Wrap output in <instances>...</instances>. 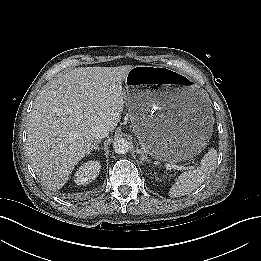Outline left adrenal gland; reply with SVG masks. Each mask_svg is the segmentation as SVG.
<instances>
[{
	"label": "left adrenal gland",
	"instance_id": "a2214340",
	"mask_svg": "<svg viewBox=\"0 0 261 261\" xmlns=\"http://www.w3.org/2000/svg\"><path fill=\"white\" fill-rule=\"evenodd\" d=\"M137 153L140 154V162H149L147 156L140 150V149H136Z\"/></svg>",
	"mask_w": 261,
	"mask_h": 261
}]
</instances>
